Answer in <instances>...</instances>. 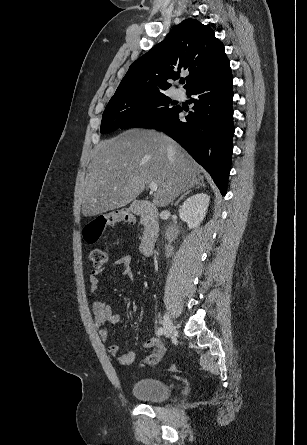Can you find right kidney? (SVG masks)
Wrapping results in <instances>:
<instances>
[{
  "mask_svg": "<svg viewBox=\"0 0 307 445\" xmlns=\"http://www.w3.org/2000/svg\"><path fill=\"white\" fill-rule=\"evenodd\" d=\"M209 200L210 196L204 194V192L193 194V196L184 200L181 208H179V216L182 220H186L189 229H195L202 223L206 216Z\"/></svg>",
  "mask_w": 307,
  "mask_h": 445,
  "instance_id": "right-kidney-1",
  "label": "right kidney"
}]
</instances>
